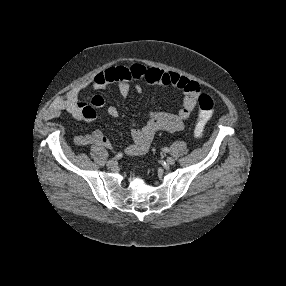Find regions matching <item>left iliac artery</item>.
<instances>
[{"mask_svg":"<svg viewBox=\"0 0 286 286\" xmlns=\"http://www.w3.org/2000/svg\"><path fill=\"white\" fill-rule=\"evenodd\" d=\"M163 151L166 152V153H168V152H169V149H168V148H164Z\"/></svg>","mask_w":286,"mask_h":286,"instance_id":"1","label":"left iliac artery"}]
</instances>
